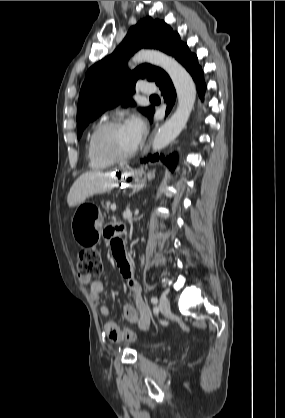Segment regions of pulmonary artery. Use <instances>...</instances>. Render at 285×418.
I'll return each mask as SVG.
<instances>
[{"label":"pulmonary artery","mask_w":285,"mask_h":418,"mask_svg":"<svg viewBox=\"0 0 285 418\" xmlns=\"http://www.w3.org/2000/svg\"><path fill=\"white\" fill-rule=\"evenodd\" d=\"M157 90V87L153 85H145L140 88L141 94H151Z\"/></svg>","instance_id":"e3ab8cb5"}]
</instances>
